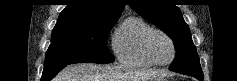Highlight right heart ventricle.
I'll use <instances>...</instances> for the list:
<instances>
[{"mask_svg": "<svg viewBox=\"0 0 237 81\" xmlns=\"http://www.w3.org/2000/svg\"><path fill=\"white\" fill-rule=\"evenodd\" d=\"M153 27L140 16H129L115 29L112 48L118 61L135 67H151L144 42Z\"/></svg>", "mask_w": 237, "mask_h": 81, "instance_id": "e07e8e85", "label": "right heart ventricle"}]
</instances>
